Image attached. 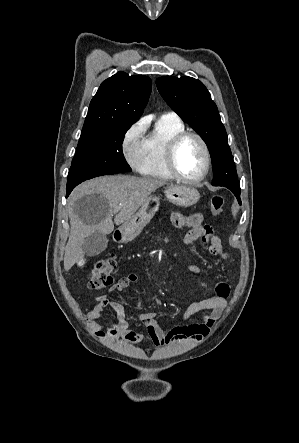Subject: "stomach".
I'll return each instance as SVG.
<instances>
[{"instance_id": "1", "label": "stomach", "mask_w": 299, "mask_h": 443, "mask_svg": "<svg viewBox=\"0 0 299 443\" xmlns=\"http://www.w3.org/2000/svg\"><path fill=\"white\" fill-rule=\"evenodd\" d=\"M164 193L170 203L181 207L192 206L200 199L198 190L192 186L170 185L166 187ZM159 207L160 198L157 195H150L139 211L119 228L120 241L130 242L136 238L154 217Z\"/></svg>"}]
</instances>
